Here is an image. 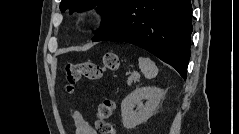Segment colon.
<instances>
[{"label":"colon","mask_w":239,"mask_h":134,"mask_svg":"<svg viewBox=\"0 0 239 134\" xmlns=\"http://www.w3.org/2000/svg\"><path fill=\"white\" fill-rule=\"evenodd\" d=\"M119 66V58L116 53H106L103 57L102 65L92 61L81 63H69L65 66L66 90L71 92L74 86L82 79L98 80L106 71H115ZM116 105L112 99L103 100L96 112L95 126L101 134H115V127L108 122L113 115Z\"/></svg>","instance_id":"1"}]
</instances>
